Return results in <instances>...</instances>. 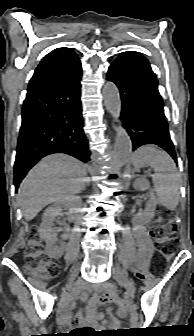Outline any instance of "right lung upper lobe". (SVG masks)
<instances>
[{
  "instance_id": "right-lung-upper-lobe-1",
  "label": "right lung upper lobe",
  "mask_w": 194,
  "mask_h": 336,
  "mask_svg": "<svg viewBox=\"0 0 194 336\" xmlns=\"http://www.w3.org/2000/svg\"><path fill=\"white\" fill-rule=\"evenodd\" d=\"M80 62L76 53L70 48H57L50 52L38 65L29 87L51 80L74 68Z\"/></svg>"
}]
</instances>
